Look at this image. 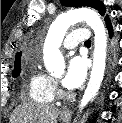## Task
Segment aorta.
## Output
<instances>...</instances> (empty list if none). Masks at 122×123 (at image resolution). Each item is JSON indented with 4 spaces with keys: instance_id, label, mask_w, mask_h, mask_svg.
<instances>
[{
    "instance_id": "obj_1",
    "label": "aorta",
    "mask_w": 122,
    "mask_h": 123,
    "mask_svg": "<svg viewBox=\"0 0 122 123\" xmlns=\"http://www.w3.org/2000/svg\"><path fill=\"white\" fill-rule=\"evenodd\" d=\"M85 21L94 31L93 66L87 88L80 102L83 109L99 90L106 65L107 36L100 16L89 8H79L58 16L52 23L43 49L46 69L55 74L64 69V59L59 50L68 28Z\"/></svg>"
}]
</instances>
